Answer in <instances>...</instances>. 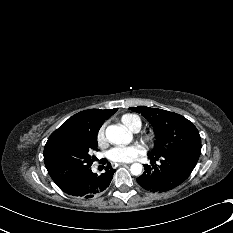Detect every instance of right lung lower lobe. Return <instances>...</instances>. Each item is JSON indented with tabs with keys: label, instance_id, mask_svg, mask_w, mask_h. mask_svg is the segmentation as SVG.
Returning a JSON list of instances; mask_svg holds the SVG:
<instances>
[{
	"label": "right lung lower lobe",
	"instance_id": "98d812e1",
	"mask_svg": "<svg viewBox=\"0 0 233 233\" xmlns=\"http://www.w3.org/2000/svg\"><path fill=\"white\" fill-rule=\"evenodd\" d=\"M115 170L108 163L102 174L93 173L91 167L84 169L72 178L56 183L65 193L82 198H92L103 192L110 184Z\"/></svg>",
	"mask_w": 233,
	"mask_h": 233
}]
</instances>
